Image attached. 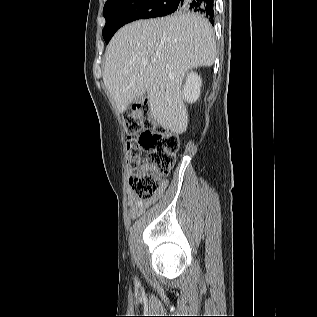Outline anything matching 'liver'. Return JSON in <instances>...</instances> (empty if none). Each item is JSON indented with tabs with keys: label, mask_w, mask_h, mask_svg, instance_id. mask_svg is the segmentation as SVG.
<instances>
[{
	"label": "liver",
	"mask_w": 317,
	"mask_h": 317,
	"mask_svg": "<svg viewBox=\"0 0 317 317\" xmlns=\"http://www.w3.org/2000/svg\"><path fill=\"white\" fill-rule=\"evenodd\" d=\"M215 58L213 29L202 15L139 20L120 28L108 44L103 81L118 112L147 93L154 120L182 134L188 126L181 92L185 74L210 67Z\"/></svg>",
	"instance_id": "liver-1"
}]
</instances>
